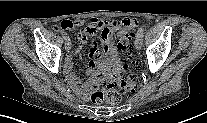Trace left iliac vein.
<instances>
[{
	"instance_id": "1",
	"label": "left iliac vein",
	"mask_w": 207,
	"mask_h": 123,
	"mask_svg": "<svg viewBox=\"0 0 207 123\" xmlns=\"http://www.w3.org/2000/svg\"><path fill=\"white\" fill-rule=\"evenodd\" d=\"M142 45V37L140 35H137L135 39V46L138 50H140L142 48Z\"/></svg>"
}]
</instances>
